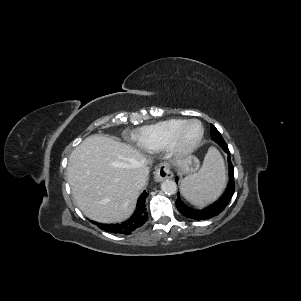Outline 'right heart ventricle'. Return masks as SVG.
<instances>
[{"mask_svg":"<svg viewBox=\"0 0 301 301\" xmlns=\"http://www.w3.org/2000/svg\"><path fill=\"white\" fill-rule=\"evenodd\" d=\"M186 121L184 119H168L144 126L136 131L133 140L137 147L144 151H162L167 148L173 136Z\"/></svg>","mask_w":301,"mask_h":301,"instance_id":"obj_1","label":"right heart ventricle"}]
</instances>
